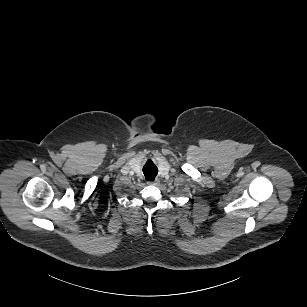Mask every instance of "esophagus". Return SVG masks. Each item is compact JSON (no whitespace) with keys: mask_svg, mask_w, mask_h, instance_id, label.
<instances>
[{"mask_svg":"<svg viewBox=\"0 0 307 307\" xmlns=\"http://www.w3.org/2000/svg\"><path fill=\"white\" fill-rule=\"evenodd\" d=\"M147 184L148 185H159L160 184V180L159 179H155V180H150V181H147Z\"/></svg>","mask_w":307,"mask_h":307,"instance_id":"obj_1","label":"esophagus"}]
</instances>
